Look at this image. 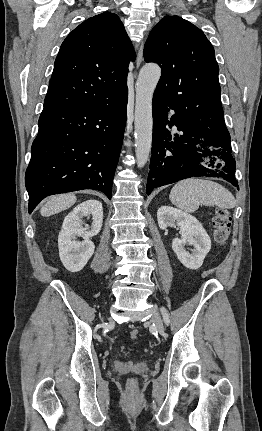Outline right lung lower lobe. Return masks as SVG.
<instances>
[{
	"instance_id": "obj_1",
	"label": "right lung lower lobe",
	"mask_w": 262,
	"mask_h": 431,
	"mask_svg": "<svg viewBox=\"0 0 262 431\" xmlns=\"http://www.w3.org/2000/svg\"><path fill=\"white\" fill-rule=\"evenodd\" d=\"M127 101L128 89L101 105L43 109L25 175L29 213L52 194L94 189L111 199Z\"/></svg>"
}]
</instances>
